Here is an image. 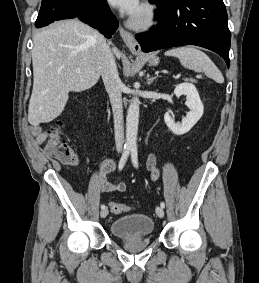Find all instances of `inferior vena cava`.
I'll list each match as a JSON object with an SVG mask.
<instances>
[{
    "instance_id": "1",
    "label": "inferior vena cava",
    "mask_w": 259,
    "mask_h": 283,
    "mask_svg": "<svg viewBox=\"0 0 259 283\" xmlns=\"http://www.w3.org/2000/svg\"><path fill=\"white\" fill-rule=\"evenodd\" d=\"M101 52V75L112 106L115 143L116 147L121 149L124 144L122 83L119 78L113 52L106 42L103 44Z\"/></svg>"
}]
</instances>
